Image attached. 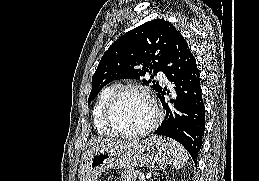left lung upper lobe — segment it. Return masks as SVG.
<instances>
[{"label": "left lung upper lobe", "instance_id": "left-lung-upper-lobe-1", "mask_svg": "<svg viewBox=\"0 0 259 181\" xmlns=\"http://www.w3.org/2000/svg\"><path fill=\"white\" fill-rule=\"evenodd\" d=\"M180 32L168 21L154 19L127 32L104 53L92 78L90 103L108 83L118 79H140L147 72L165 73L170 51ZM152 78V76H151ZM143 82L148 84L151 80ZM157 92L162 86L155 81Z\"/></svg>", "mask_w": 259, "mask_h": 181}]
</instances>
